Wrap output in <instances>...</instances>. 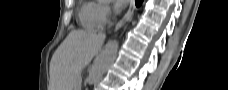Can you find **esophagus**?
<instances>
[{
	"label": "esophagus",
	"instance_id": "esophagus-1",
	"mask_svg": "<svg viewBox=\"0 0 228 90\" xmlns=\"http://www.w3.org/2000/svg\"><path fill=\"white\" fill-rule=\"evenodd\" d=\"M135 11V1L131 0L130 6L126 14L123 16V18L119 21V23L115 26L114 31H118L122 26H124L133 16Z\"/></svg>",
	"mask_w": 228,
	"mask_h": 90
}]
</instances>
